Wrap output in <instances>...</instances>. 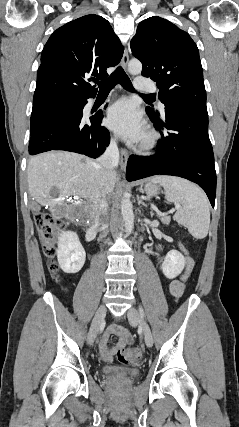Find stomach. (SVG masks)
Instances as JSON below:
<instances>
[{
    "label": "stomach",
    "instance_id": "1",
    "mask_svg": "<svg viewBox=\"0 0 239 427\" xmlns=\"http://www.w3.org/2000/svg\"><path fill=\"white\" fill-rule=\"evenodd\" d=\"M139 190L146 193L148 196H155L159 194L160 187L156 183L147 181L144 184H140Z\"/></svg>",
    "mask_w": 239,
    "mask_h": 427
}]
</instances>
